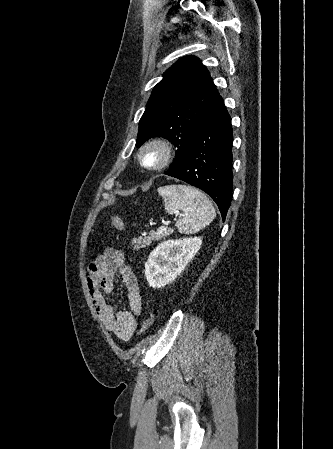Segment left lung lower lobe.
<instances>
[{
	"label": "left lung lower lobe",
	"instance_id": "obj_1",
	"mask_svg": "<svg viewBox=\"0 0 333 449\" xmlns=\"http://www.w3.org/2000/svg\"><path fill=\"white\" fill-rule=\"evenodd\" d=\"M232 142L231 118L219 96L195 133L183 163L164 173L210 195L223 221L232 198Z\"/></svg>",
	"mask_w": 333,
	"mask_h": 449
}]
</instances>
